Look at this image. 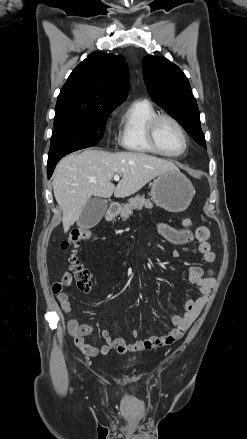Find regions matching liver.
<instances>
[{"mask_svg": "<svg viewBox=\"0 0 247 439\" xmlns=\"http://www.w3.org/2000/svg\"><path fill=\"white\" fill-rule=\"evenodd\" d=\"M178 169L164 159L136 152L110 153L86 149L64 157L53 175V191L67 232L80 217L92 196L110 198L135 194L158 175ZM114 175L122 176L117 186L111 183Z\"/></svg>", "mask_w": 247, "mask_h": 439, "instance_id": "obj_1", "label": "liver"}]
</instances>
